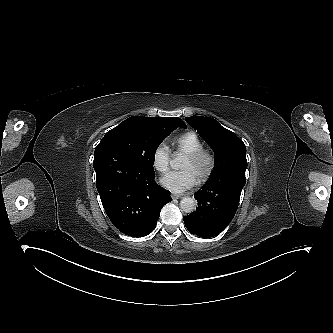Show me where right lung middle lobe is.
Listing matches in <instances>:
<instances>
[{"label": "right lung middle lobe", "instance_id": "obj_1", "mask_svg": "<svg viewBox=\"0 0 333 333\" xmlns=\"http://www.w3.org/2000/svg\"><path fill=\"white\" fill-rule=\"evenodd\" d=\"M178 126L180 125L147 117L128 118L105 134L96 147L95 154L101 146L111 142L140 166L154 171L157 147Z\"/></svg>", "mask_w": 333, "mask_h": 333}]
</instances>
